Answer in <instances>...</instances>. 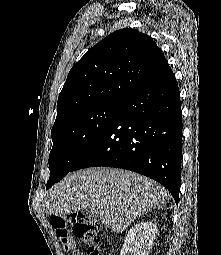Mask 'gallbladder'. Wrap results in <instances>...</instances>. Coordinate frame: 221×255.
<instances>
[{"instance_id": "obj_1", "label": "gallbladder", "mask_w": 221, "mask_h": 255, "mask_svg": "<svg viewBox=\"0 0 221 255\" xmlns=\"http://www.w3.org/2000/svg\"><path fill=\"white\" fill-rule=\"evenodd\" d=\"M85 213L89 216H95V212L93 210H86Z\"/></svg>"}]
</instances>
